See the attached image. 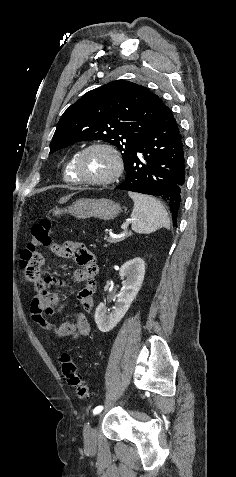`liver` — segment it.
Here are the masks:
<instances>
[{
  "label": "liver",
  "mask_w": 236,
  "mask_h": 477,
  "mask_svg": "<svg viewBox=\"0 0 236 477\" xmlns=\"http://www.w3.org/2000/svg\"><path fill=\"white\" fill-rule=\"evenodd\" d=\"M65 199H67V197L61 198V199H60V202L63 201V200H65Z\"/></svg>",
  "instance_id": "6515ba94"
}]
</instances>
